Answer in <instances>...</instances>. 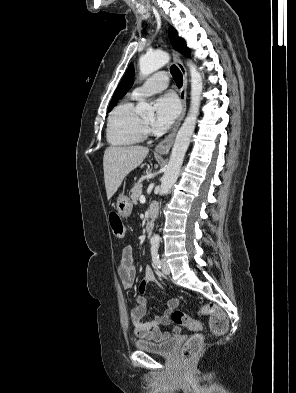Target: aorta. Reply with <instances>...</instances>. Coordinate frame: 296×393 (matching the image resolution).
I'll use <instances>...</instances> for the list:
<instances>
[{"mask_svg":"<svg viewBox=\"0 0 296 393\" xmlns=\"http://www.w3.org/2000/svg\"><path fill=\"white\" fill-rule=\"evenodd\" d=\"M168 61L169 55L163 51H155L141 56L139 59L140 76L147 77L167 64ZM187 65L189 66L191 76L190 109L176 135L170 160L161 180L160 192L162 195H167L170 192L172 186L179 177L185 153L189 147L190 139L194 132L197 116L199 114L201 94L203 90L202 76L193 63L188 62ZM136 111L139 114L153 113V108L145 101H140L136 106ZM152 241L159 243L160 236L155 234L152 237Z\"/></svg>","mask_w":296,"mask_h":393,"instance_id":"1","label":"aorta"}]
</instances>
